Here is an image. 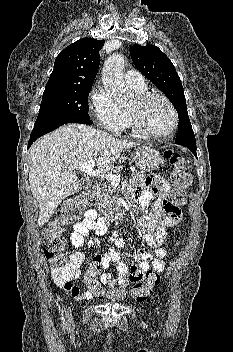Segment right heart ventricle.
Listing matches in <instances>:
<instances>
[{"mask_svg": "<svg viewBox=\"0 0 233 352\" xmlns=\"http://www.w3.org/2000/svg\"><path fill=\"white\" fill-rule=\"evenodd\" d=\"M138 95L144 94L146 93V88L141 89V90H135L133 89ZM130 125V121H129V117L128 114H126V122H125V126L124 127H128Z\"/></svg>", "mask_w": 233, "mask_h": 352, "instance_id": "e07e8e85", "label": "right heart ventricle"}]
</instances>
